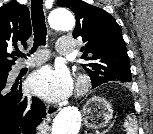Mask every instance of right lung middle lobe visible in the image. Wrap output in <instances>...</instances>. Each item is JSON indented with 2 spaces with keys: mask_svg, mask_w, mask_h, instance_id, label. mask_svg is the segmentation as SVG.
Returning <instances> with one entry per match:
<instances>
[{
  "mask_svg": "<svg viewBox=\"0 0 153 134\" xmlns=\"http://www.w3.org/2000/svg\"><path fill=\"white\" fill-rule=\"evenodd\" d=\"M7 72V70H2L0 71V74H5Z\"/></svg>",
  "mask_w": 153,
  "mask_h": 134,
  "instance_id": "obj_1",
  "label": "right lung middle lobe"
}]
</instances>
